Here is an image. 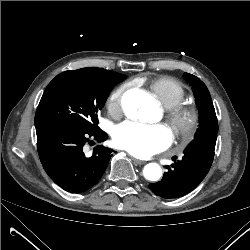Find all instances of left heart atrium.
<instances>
[{
    "label": "left heart atrium",
    "mask_w": 250,
    "mask_h": 250,
    "mask_svg": "<svg viewBox=\"0 0 250 250\" xmlns=\"http://www.w3.org/2000/svg\"><path fill=\"white\" fill-rule=\"evenodd\" d=\"M172 141L173 136L165 126L133 121L121 123L113 134V143L116 147L140 158L167 149Z\"/></svg>",
    "instance_id": "39dd6f15"
}]
</instances>
